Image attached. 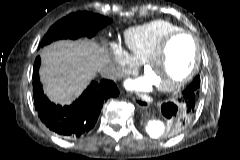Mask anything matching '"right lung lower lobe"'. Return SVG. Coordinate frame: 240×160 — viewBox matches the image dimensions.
Wrapping results in <instances>:
<instances>
[{
	"instance_id": "obj_1",
	"label": "right lung lower lobe",
	"mask_w": 240,
	"mask_h": 160,
	"mask_svg": "<svg viewBox=\"0 0 240 160\" xmlns=\"http://www.w3.org/2000/svg\"><path fill=\"white\" fill-rule=\"evenodd\" d=\"M40 57L33 67V97L40 120L52 132L66 138H79L96 124L104 102L117 97L119 91L113 81H92L83 94L70 106L55 105L44 95L38 70Z\"/></svg>"
}]
</instances>
